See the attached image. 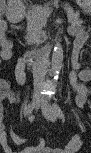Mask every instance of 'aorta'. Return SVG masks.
I'll list each match as a JSON object with an SVG mask.
<instances>
[{"label": "aorta", "instance_id": "762f6f07", "mask_svg": "<svg viewBox=\"0 0 91 153\" xmlns=\"http://www.w3.org/2000/svg\"><path fill=\"white\" fill-rule=\"evenodd\" d=\"M62 63H63V48L59 43H57L54 46L52 53V72L56 77H58L61 71Z\"/></svg>", "mask_w": 91, "mask_h": 153}]
</instances>
